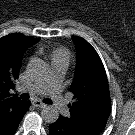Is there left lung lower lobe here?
<instances>
[{"label":"left lung lower lobe","mask_w":135,"mask_h":135,"mask_svg":"<svg viewBox=\"0 0 135 135\" xmlns=\"http://www.w3.org/2000/svg\"><path fill=\"white\" fill-rule=\"evenodd\" d=\"M49 135H95L86 128L72 123L68 118L60 116L49 126Z\"/></svg>","instance_id":"left-lung-lower-lobe-1"}]
</instances>
